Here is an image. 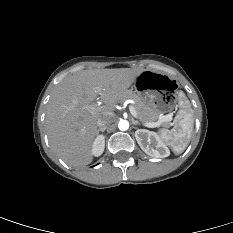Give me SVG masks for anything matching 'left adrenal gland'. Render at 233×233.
<instances>
[{
	"mask_svg": "<svg viewBox=\"0 0 233 233\" xmlns=\"http://www.w3.org/2000/svg\"><path fill=\"white\" fill-rule=\"evenodd\" d=\"M132 123H133L134 125H140V123H139L138 121L134 120V119H132Z\"/></svg>",
	"mask_w": 233,
	"mask_h": 233,
	"instance_id": "1",
	"label": "left adrenal gland"
}]
</instances>
